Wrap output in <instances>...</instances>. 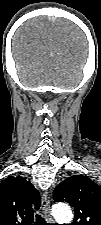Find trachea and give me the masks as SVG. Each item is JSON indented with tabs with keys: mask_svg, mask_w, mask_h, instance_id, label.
<instances>
[{
	"mask_svg": "<svg viewBox=\"0 0 101 225\" xmlns=\"http://www.w3.org/2000/svg\"><path fill=\"white\" fill-rule=\"evenodd\" d=\"M36 219H37V224L36 225H46V222H45L44 218L41 215L37 214L36 215Z\"/></svg>",
	"mask_w": 101,
	"mask_h": 225,
	"instance_id": "trachea-1",
	"label": "trachea"
}]
</instances>
